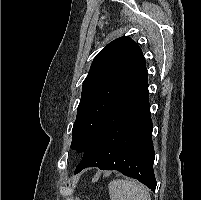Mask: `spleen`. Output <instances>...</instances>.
Returning a JSON list of instances; mask_svg holds the SVG:
<instances>
[{
	"label": "spleen",
	"instance_id": "obj_1",
	"mask_svg": "<svg viewBox=\"0 0 201 200\" xmlns=\"http://www.w3.org/2000/svg\"><path fill=\"white\" fill-rule=\"evenodd\" d=\"M111 200H151L149 191L143 185L124 179L109 183Z\"/></svg>",
	"mask_w": 201,
	"mask_h": 200
}]
</instances>
